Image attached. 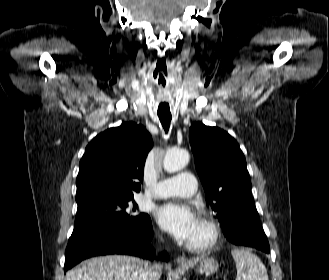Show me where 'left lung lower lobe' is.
Masks as SVG:
<instances>
[{
  "instance_id": "0a47b994",
  "label": "left lung lower lobe",
  "mask_w": 329,
  "mask_h": 280,
  "mask_svg": "<svg viewBox=\"0 0 329 280\" xmlns=\"http://www.w3.org/2000/svg\"><path fill=\"white\" fill-rule=\"evenodd\" d=\"M226 238L236 245L257 248L270 252L269 243L261 226L254 203H250L246 211L236 221L223 227Z\"/></svg>"
}]
</instances>
